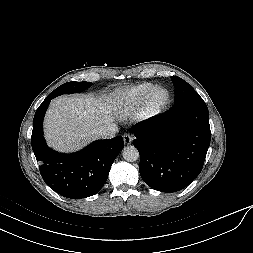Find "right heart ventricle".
<instances>
[{
    "label": "right heart ventricle",
    "mask_w": 253,
    "mask_h": 253,
    "mask_svg": "<svg viewBox=\"0 0 253 253\" xmlns=\"http://www.w3.org/2000/svg\"><path fill=\"white\" fill-rule=\"evenodd\" d=\"M154 88L152 83H141L119 91L113 101L114 110L121 116L134 114L143 106Z\"/></svg>",
    "instance_id": "right-heart-ventricle-1"
}]
</instances>
